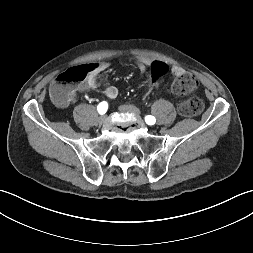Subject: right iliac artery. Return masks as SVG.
Segmentation results:
<instances>
[{"label":"right iliac artery","instance_id":"obj_1","mask_svg":"<svg viewBox=\"0 0 253 253\" xmlns=\"http://www.w3.org/2000/svg\"><path fill=\"white\" fill-rule=\"evenodd\" d=\"M108 109V103L106 101H102L101 103H99V105L97 106V110L100 114H105L106 111Z\"/></svg>","mask_w":253,"mask_h":253}]
</instances>
